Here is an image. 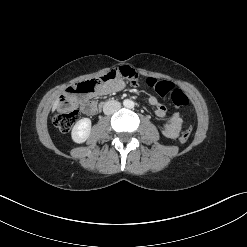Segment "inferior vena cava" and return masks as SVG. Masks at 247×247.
<instances>
[{"mask_svg": "<svg viewBox=\"0 0 247 247\" xmlns=\"http://www.w3.org/2000/svg\"><path fill=\"white\" fill-rule=\"evenodd\" d=\"M121 108V104L120 102L116 101V100H110L107 101L104 106H103V112L106 115H110L115 113L116 111H118Z\"/></svg>", "mask_w": 247, "mask_h": 247, "instance_id": "1", "label": "inferior vena cava"}]
</instances>
